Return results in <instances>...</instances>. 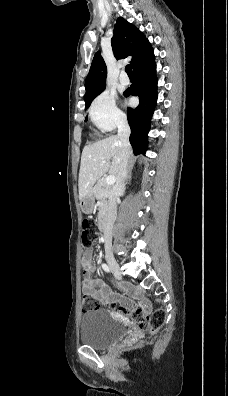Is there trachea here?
<instances>
[{"instance_id":"3493384b","label":"trachea","mask_w":228,"mask_h":396,"mask_svg":"<svg viewBox=\"0 0 228 396\" xmlns=\"http://www.w3.org/2000/svg\"><path fill=\"white\" fill-rule=\"evenodd\" d=\"M125 71H126V73L128 74V76H133V72H132V69H131V66H130V65H127V66L125 67Z\"/></svg>"}]
</instances>
